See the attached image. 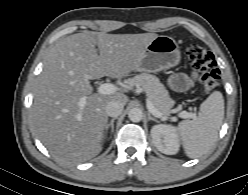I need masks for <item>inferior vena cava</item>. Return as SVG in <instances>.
Returning a JSON list of instances; mask_svg holds the SVG:
<instances>
[{"label": "inferior vena cava", "instance_id": "602c4592", "mask_svg": "<svg viewBox=\"0 0 248 195\" xmlns=\"http://www.w3.org/2000/svg\"><path fill=\"white\" fill-rule=\"evenodd\" d=\"M124 105L116 100H112L107 103L105 110L108 116L118 117L123 111Z\"/></svg>", "mask_w": 248, "mask_h": 195}]
</instances>
